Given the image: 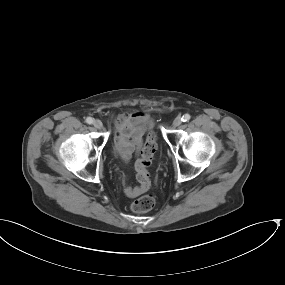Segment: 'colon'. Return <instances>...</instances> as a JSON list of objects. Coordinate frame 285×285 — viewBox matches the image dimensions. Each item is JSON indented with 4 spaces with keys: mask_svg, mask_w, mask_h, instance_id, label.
<instances>
[{
    "mask_svg": "<svg viewBox=\"0 0 285 285\" xmlns=\"http://www.w3.org/2000/svg\"><path fill=\"white\" fill-rule=\"evenodd\" d=\"M156 137L153 133L146 136L141 158L136 162V178L139 182V188L146 191L150 186V175L148 167L150 166L153 156L156 152ZM156 203L153 195L147 194L131 204V210L136 213H144L151 210Z\"/></svg>",
    "mask_w": 285,
    "mask_h": 285,
    "instance_id": "5ec220e1",
    "label": "colon"
}]
</instances>
